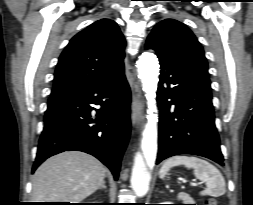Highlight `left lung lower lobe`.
Listing matches in <instances>:
<instances>
[{
	"mask_svg": "<svg viewBox=\"0 0 253 205\" xmlns=\"http://www.w3.org/2000/svg\"><path fill=\"white\" fill-rule=\"evenodd\" d=\"M156 54L161 68L157 93L159 147L156 163L174 155L194 154L223 166L210 84L177 60Z\"/></svg>",
	"mask_w": 253,
	"mask_h": 205,
	"instance_id": "1",
	"label": "left lung lower lobe"
}]
</instances>
